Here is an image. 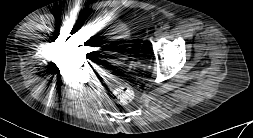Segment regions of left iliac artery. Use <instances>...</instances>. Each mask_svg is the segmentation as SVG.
Here are the masks:
<instances>
[{"label":"left iliac artery","mask_w":253,"mask_h":138,"mask_svg":"<svg viewBox=\"0 0 253 138\" xmlns=\"http://www.w3.org/2000/svg\"><path fill=\"white\" fill-rule=\"evenodd\" d=\"M169 28V25H165L164 27H163V30H167Z\"/></svg>","instance_id":"44dca946"}]
</instances>
